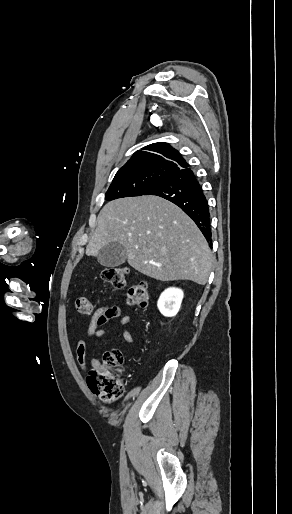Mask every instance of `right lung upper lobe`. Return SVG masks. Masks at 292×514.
<instances>
[{
  "label": "right lung upper lobe",
  "mask_w": 292,
  "mask_h": 514,
  "mask_svg": "<svg viewBox=\"0 0 292 514\" xmlns=\"http://www.w3.org/2000/svg\"><path fill=\"white\" fill-rule=\"evenodd\" d=\"M181 154L164 142L153 143L136 151L116 175L141 172H165L170 175L188 169Z\"/></svg>",
  "instance_id": "cb5924a9"
}]
</instances>
